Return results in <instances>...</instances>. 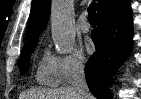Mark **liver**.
I'll return each instance as SVG.
<instances>
[{
	"label": "liver",
	"instance_id": "obj_1",
	"mask_svg": "<svg viewBox=\"0 0 141 99\" xmlns=\"http://www.w3.org/2000/svg\"><path fill=\"white\" fill-rule=\"evenodd\" d=\"M78 91L72 86L59 89L31 88L22 92L19 99H81Z\"/></svg>",
	"mask_w": 141,
	"mask_h": 99
}]
</instances>
